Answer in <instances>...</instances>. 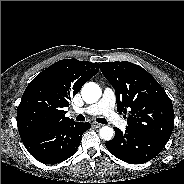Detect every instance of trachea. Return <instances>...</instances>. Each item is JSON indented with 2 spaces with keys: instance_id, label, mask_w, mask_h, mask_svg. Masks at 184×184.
Listing matches in <instances>:
<instances>
[{
  "instance_id": "trachea-1",
  "label": "trachea",
  "mask_w": 184,
  "mask_h": 184,
  "mask_svg": "<svg viewBox=\"0 0 184 184\" xmlns=\"http://www.w3.org/2000/svg\"><path fill=\"white\" fill-rule=\"evenodd\" d=\"M76 120H77V121H85V117H84L82 114H79V115L76 117ZM96 121H97L98 123H102V124H106V123H107L106 119H104V118H97Z\"/></svg>"
}]
</instances>
